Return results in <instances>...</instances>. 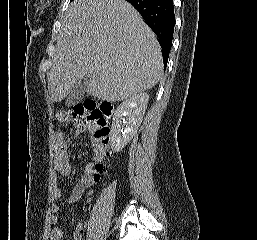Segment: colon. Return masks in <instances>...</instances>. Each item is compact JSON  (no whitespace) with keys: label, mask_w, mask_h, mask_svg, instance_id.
Masks as SVG:
<instances>
[{"label":"colon","mask_w":257,"mask_h":240,"mask_svg":"<svg viewBox=\"0 0 257 240\" xmlns=\"http://www.w3.org/2000/svg\"><path fill=\"white\" fill-rule=\"evenodd\" d=\"M109 115V106L98 105L91 100L76 105L71 111V117L75 122L91 133L92 144L96 152V163L93 172L98 178L105 170L104 160L109 155V128L107 126Z\"/></svg>","instance_id":"5ec220e1"}]
</instances>
